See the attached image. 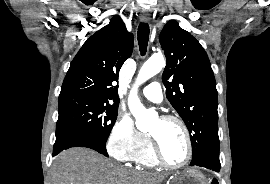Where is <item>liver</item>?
<instances>
[{"label":"liver","mask_w":270,"mask_h":184,"mask_svg":"<svg viewBox=\"0 0 270 184\" xmlns=\"http://www.w3.org/2000/svg\"><path fill=\"white\" fill-rule=\"evenodd\" d=\"M51 175L53 184H153L162 179L130 171L86 148L60 153L53 162Z\"/></svg>","instance_id":"6515ba94"}]
</instances>
